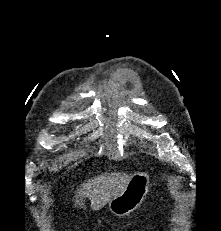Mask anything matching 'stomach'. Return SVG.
<instances>
[{
  "label": "stomach",
  "instance_id": "1",
  "mask_svg": "<svg viewBox=\"0 0 221 231\" xmlns=\"http://www.w3.org/2000/svg\"><path fill=\"white\" fill-rule=\"evenodd\" d=\"M149 185L150 178L147 173L134 174L125 190L109 202V210L118 216L130 214L136 210L145 199Z\"/></svg>",
  "mask_w": 221,
  "mask_h": 231
}]
</instances>
